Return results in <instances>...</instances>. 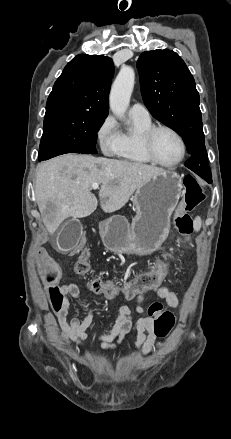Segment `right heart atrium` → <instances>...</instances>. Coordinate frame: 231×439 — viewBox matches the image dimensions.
<instances>
[{"instance_id":"obj_1","label":"right heart atrium","mask_w":231,"mask_h":439,"mask_svg":"<svg viewBox=\"0 0 231 439\" xmlns=\"http://www.w3.org/2000/svg\"><path fill=\"white\" fill-rule=\"evenodd\" d=\"M96 139L101 151L112 156L119 147L120 131L113 116L107 115L99 124L96 131Z\"/></svg>"}]
</instances>
